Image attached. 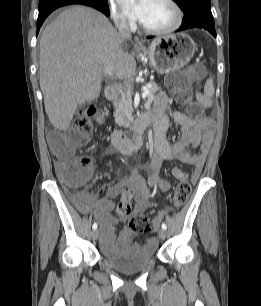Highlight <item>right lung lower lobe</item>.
<instances>
[{"label": "right lung lower lobe", "instance_id": "right-lung-lower-lobe-1", "mask_svg": "<svg viewBox=\"0 0 261 306\" xmlns=\"http://www.w3.org/2000/svg\"><path fill=\"white\" fill-rule=\"evenodd\" d=\"M69 4H83L88 5L97 10H100L105 15H109V8L107 4H102L93 0H40L39 1V16L37 19V34L41 25L47 16L55 9L69 5Z\"/></svg>", "mask_w": 261, "mask_h": 306}]
</instances>
